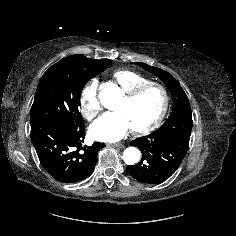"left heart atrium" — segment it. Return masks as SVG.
Masks as SVG:
<instances>
[{"label":"left heart atrium","mask_w":236,"mask_h":236,"mask_svg":"<svg viewBox=\"0 0 236 236\" xmlns=\"http://www.w3.org/2000/svg\"><path fill=\"white\" fill-rule=\"evenodd\" d=\"M130 121L122 111L107 112L99 117L89 129L95 140L115 142L122 139L131 129Z\"/></svg>","instance_id":"1"}]
</instances>
